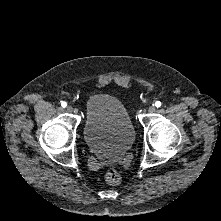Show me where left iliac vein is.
<instances>
[{
    "instance_id": "1",
    "label": "left iliac vein",
    "mask_w": 221,
    "mask_h": 221,
    "mask_svg": "<svg viewBox=\"0 0 221 221\" xmlns=\"http://www.w3.org/2000/svg\"><path fill=\"white\" fill-rule=\"evenodd\" d=\"M156 111V107L154 106V105H152V106H150L149 108H148V112L149 113H153V112H155Z\"/></svg>"
}]
</instances>
